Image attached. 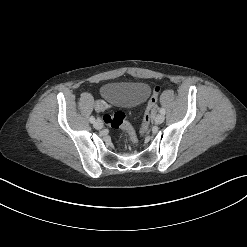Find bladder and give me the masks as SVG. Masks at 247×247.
Segmentation results:
<instances>
[{"label":"bladder","instance_id":"bladder-1","mask_svg":"<svg viewBox=\"0 0 247 247\" xmlns=\"http://www.w3.org/2000/svg\"><path fill=\"white\" fill-rule=\"evenodd\" d=\"M101 94L111 104L130 108L149 97L150 87L143 82H108L101 87Z\"/></svg>","mask_w":247,"mask_h":247}]
</instances>
